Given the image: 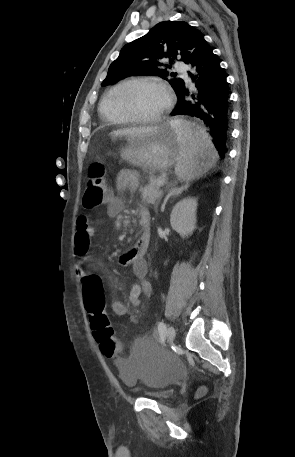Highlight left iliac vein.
I'll use <instances>...</instances> for the list:
<instances>
[{
    "label": "left iliac vein",
    "instance_id": "4c4485c4",
    "mask_svg": "<svg viewBox=\"0 0 295 457\" xmlns=\"http://www.w3.org/2000/svg\"><path fill=\"white\" fill-rule=\"evenodd\" d=\"M175 329L173 326H169L168 329H167V339L168 341L170 342H173L174 339H175Z\"/></svg>",
    "mask_w": 295,
    "mask_h": 457
}]
</instances>
